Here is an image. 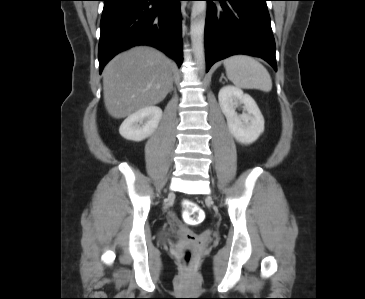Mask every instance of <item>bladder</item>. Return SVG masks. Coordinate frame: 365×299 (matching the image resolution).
Here are the masks:
<instances>
[{
  "label": "bladder",
  "mask_w": 365,
  "mask_h": 299,
  "mask_svg": "<svg viewBox=\"0 0 365 299\" xmlns=\"http://www.w3.org/2000/svg\"><path fill=\"white\" fill-rule=\"evenodd\" d=\"M180 232V229L178 226H171L168 228H165L160 233V239L163 242H167L170 238L177 235Z\"/></svg>",
  "instance_id": "31cf9c89"
}]
</instances>
